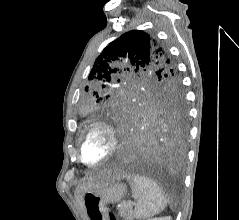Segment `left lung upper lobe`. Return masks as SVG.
<instances>
[{
    "mask_svg": "<svg viewBox=\"0 0 239 220\" xmlns=\"http://www.w3.org/2000/svg\"><path fill=\"white\" fill-rule=\"evenodd\" d=\"M79 112L99 119L110 112H184L179 70L168 50L140 30L124 33L95 60Z\"/></svg>",
    "mask_w": 239,
    "mask_h": 220,
    "instance_id": "left-lung-upper-lobe-1",
    "label": "left lung upper lobe"
}]
</instances>
